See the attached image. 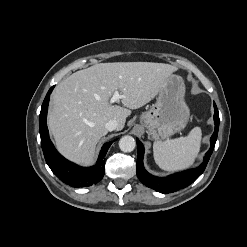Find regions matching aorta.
Instances as JSON below:
<instances>
[{
	"instance_id": "obj_1",
	"label": "aorta",
	"mask_w": 247,
	"mask_h": 247,
	"mask_svg": "<svg viewBox=\"0 0 247 247\" xmlns=\"http://www.w3.org/2000/svg\"><path fill=\"white\" fill-rule=\"evenodd\" d=\"M136 141L132 136H123L119 141V148L123 152H131L135 149Z\"/></svg>"
}]
</instances>
